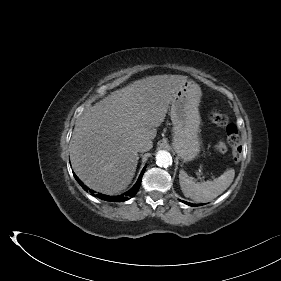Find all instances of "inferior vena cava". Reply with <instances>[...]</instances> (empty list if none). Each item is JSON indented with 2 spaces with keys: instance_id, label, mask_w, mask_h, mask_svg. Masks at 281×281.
I'll return each instance as SVG.
<instances>
[{
  "instance_id": "602c4592",
  "label": "inferior vena cava",
  "mask_w": 281,
  "mask_h": 281,
  "mask_svg": "<svg viewBox=\"0 0 281 281\" xmlns=\"http://www.w3.org/2000/svg\"><path fill=\"white\" fill-rule=\"evenodd\" d=\"M150 141H141L136 145V149L138 152H146L151 148Z\"/></svg>"
}]
</instances>
